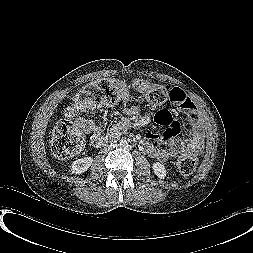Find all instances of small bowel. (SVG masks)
<instances>
[{
    "label": "small bowel",
    "instance_id": "small-bowel-1",
    "mask_svg": "<svg viewBox=\"0 0 253 253\" xmlns=\"http://www.w3.org/2000/svg\"><path fill=\"white\" fill-rule=\"evenodd\" d=\"M172 89L175 93L173 103L177 105L181 113L186 115L190 122L191 138L188 141L177 139L176 135L180 130L178 122L173 119L171 111L161 110L156 119L159 124L166 127L162 133L148 132L144 136V145L150 157L163 163L184 156H196L202 151L204 145V134L196 105L183 90L179 88ZM74 102H76V99ZM76 113L77 110L71 115ZM128 113L135 115L136 109L131 108ZM75 124L80 130L90 135V142L93 146L98 147L108 139V135L103 133L102 125L93 119L79 117L76 119ZM115 128H118V126ZM152 142L164 144L165 147H158Z\"/></svg>",
    "mask_w": 253,
    "mask_h": 253
}]
</instances>
